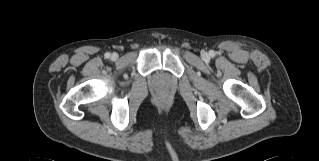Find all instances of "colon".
Wrapping results in <instances>:
<instances>
[{
	"mask_svg": "<svg viewBox=\"0 0 319 161\" xmlns=\"http://www.w3.org/2000/svg\"><path fill=\"white\" fill-rule=\"evenodd\" d=\"M165 94H159V96H158V100L160 101V102H163L164 100H165Z\"/></svg>",
	"mask_w": 319,
	"mask_h": 161,
	"instance_id": "obj_1",
	"label": "colon"
}]
</instances>
